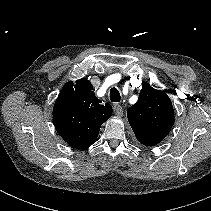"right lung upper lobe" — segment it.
Returning <instances> with one entry per match:
<instances>
[{"label": "right lung upper lobe", "instance_id": "right-lung-upper-lobe-1", "mask_svg": "<svg viewBox=\"0 0 211 211\" xmlns=\"http://www.w3.org/2000/svg\"><path fill=\"white\" fill-rule=\"evenodd\" d=\"M57 100L67 103L70 123L56 127L61 137L72 147L86 149L94 143L101 125L112 115L110 104L102 105L87 79L67 82Z\"/></svg>", "mask_w": 211, "mask_h": 211}]
</instances>
